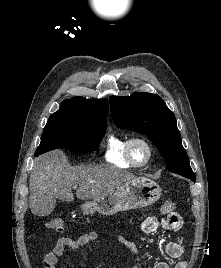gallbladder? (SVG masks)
<instances>
[{
	"instance_id": "gallbladder-1",
	"label": "gallbladder",
	"mask_w": 221,
	"mask_h": 268,
	"mask_svg": "<svg viewBox=\"0 0 221 268\" xmlns=\"http://www.w3.org/2000/svg\"><path fill=\"white\" fill-rule=\"evenodd\" d=\"M54 207V199H33L31 210L35 217H48V213H53Z\"/></svg>"
}]
</instances>
